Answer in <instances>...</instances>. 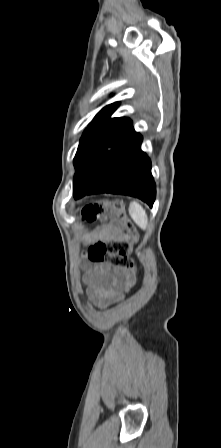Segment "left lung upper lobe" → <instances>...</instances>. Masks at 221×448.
Listing matches in <instances>:
<instances>
[{
    "mask_svg": "<svg viewBox=\"0 0 221 448\" xmlns=\"http://www.w3.org/2000/svg\"><path fill=\"white\" fill-rule=\"evenodd\" d=\"M119 102L105 106L84 130L74 158L77 170L92 166L137 133L128 118H110Z\"/></svg>",
    "mask_w": 221,
    "mask_h": 448,
    "instance_id": "obj_1",
    "label": "left lung upper lobe"
}]
</instances>
